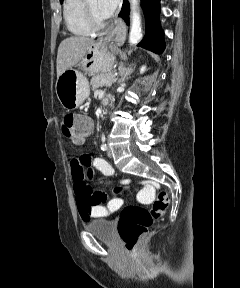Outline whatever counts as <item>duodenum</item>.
<instances>
[{
  "label": "duodenum",
  "instance_id": "410a0bca",
  "mask_svg": "<svg viewBox=\"0 0 240 288\" xmlns=\"http://www.w3.org/2000/svg\"><path fill=\"white\" fill-rule=\"evenodd\" d=\"M105 112H106V111H105V110H103V111H102V115H104V114H105Z\"/></svg>",
  "mask_w": 240,
  "mask_h": 288
}]
</instances>
